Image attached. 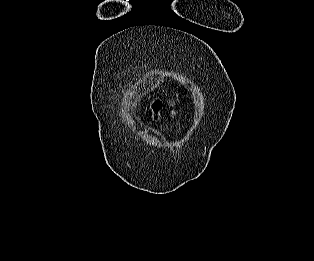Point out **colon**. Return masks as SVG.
Masks as SVG:
<instances>
[{
    "mask_svg": "<svg viewBox=\"0 0 314 261\" xmlns=\"http://www.w3.org/2000/svg\"><path fill=\"white\" fill-rule=\"evenodd\" d=\"M160 105H161L160 101L156 100V101L154 102V106H155V107H159Z\"/></svg>",
    "mask_w": 314,
    "mask_h": 261,
    "instance_id": "obj_1",
    "label": "colon"
}]
</instances>
